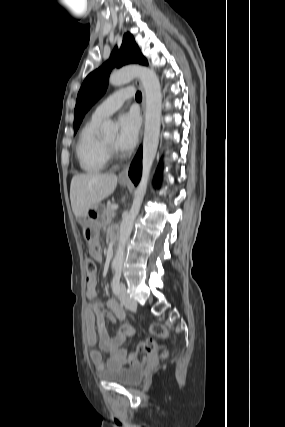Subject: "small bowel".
<instances>
[{
	"label": "small bowel",
	"mask_w": 285,
	"mask_h": 427,
	"mask_svg": "<svg viewBox=\"0 0 285 427\" xmlns=\"http://www.w3.org/2000/svg\"><path fill=\"white\" fill-rule=\"evenodd\" d=\"M96 243L90 249V256L97 262L101 261L100 253L95 249ZM95 279L87 282L86 295L90 300L96 297ZM104 304L100 301H92L88 304L85 315L86 326V341L89 346L98 345L100 350L108 353V359L104 360L100 351H91L90 358L99 371L104 370L106 367L115 368L121 367L125 363V356L127 351L121 348L128 336L135 333V329L128 323H124L125 314L123 309L117 304L115 300H108L106 307L110 312L103 310ZM104 319L112 322H120L121 326L115 334L110 335L105 328Z\"/></svg>",
	"instance_id": "small-bowel-1"
}]
</instances>
